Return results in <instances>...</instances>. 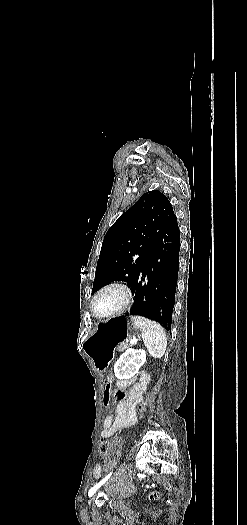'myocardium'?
I'll return each mask as SVG.
<instances>
[{"instance_id": "obj_1", "label": "myocardium", "mask_w": 247, "mask_h": 525, "mask_svg": "<svg viewBox=\"0 0 247 525\" xmlns=\"http://www.w3.org/2000/svg\"><path fill=\"white\" fill-rule=\"evenodd\" d=\"M108 289L122 291L124 293V299L117 307L111 310H108L106 312L100 313L96 310V307H95L96 299L103 291L108 290ZM131 298H132V289L125 281L111 280V281H108L102 284L93 294L92 299H91V311L96 318H99V319L110 318L117 314L122 313L128 306Z\"/></svg>"}]
</instances>
